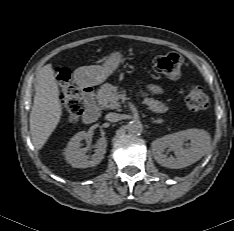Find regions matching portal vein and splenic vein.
I'll use <instances>...</instances> for the list:
<instances>
[{"label":"portal vein and splenic vein","mask_w":234,"mask_h":231,"mask_svg":"<svg viewBox=\"0 0 234 231\" xmlns=\"http://www.w3.org/2000/svg\"><path fill=\"white\" fill-rule=\"evenodd\" d=\"M119 98H120V96H119V95L115 97V99H116V100H118Z\"/></svg>","instance_id":"1"}]
</instances>
